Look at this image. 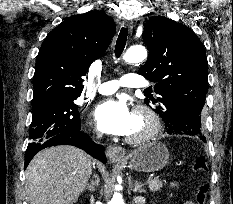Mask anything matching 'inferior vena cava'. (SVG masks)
<instances>
[{
  "label": "inferior vena cava",
  "instance_id": "obj_1",
  "mask_svg": "<svg viewBox=\"0 0 233 204\" xmlns=\"http://www.w3.org/2000/svg\"><path fill=\"white\" fill-rule=\"evenodd\" d=\"M101 137V134H98V138H100Z\"/></svg>",
  "mask_w": 233,
  "mask_h": 204
}]
</instances>
